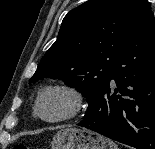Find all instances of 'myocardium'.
<instances>
[{
  "label": "myocardium",
  "mask_w": 155,
  "mask_h": 149,
  "mask_svg": "<svg viewBox=\"0 0 155 149\" xmlns=\"http://www.w3.org/2000/svg\"><path fill=\"white\" fill-rule=\"evenodd\" d=\"M51 92H60L65 94L70 99L71 104L68 112L65 113L64 115L55 118H46L45 116L42 115L40 111V102L45 95ZM83 107H84V98L82 93L77 88L67 84H51L45 86L38 93L34 102L33 112L37 118H39L44 122L61 123L77 118L82 112Z\"/></svg>",
  "instance_id": "1"
}]
</instances>
